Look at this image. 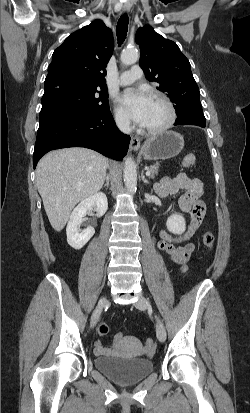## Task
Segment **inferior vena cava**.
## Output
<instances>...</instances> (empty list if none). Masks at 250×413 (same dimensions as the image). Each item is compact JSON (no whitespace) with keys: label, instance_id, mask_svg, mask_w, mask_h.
Returning a JSON list of instances; mask_svg holds the SVG:
<instances>
[{"label":"inferior vena cava","instance_id":"602c4592","mask_svg":"<svg viewBox=\"0 0 250 413\" xmlns=\"http://www.w3.org/2000/svg\"><path fill=\"white\" fill-rule=\"evenodd\" d=\"M116 124L118 128L125 134H129L131 132L130 127V120L126 117H118L116 118Z\"/></svg>","mask_w":250,"mask_h":413}]
</instances>
